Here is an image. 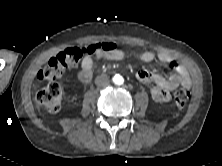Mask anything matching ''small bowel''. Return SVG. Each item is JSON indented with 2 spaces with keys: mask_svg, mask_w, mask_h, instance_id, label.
<instances>
[{
  "mask_svg": "<svg viewBox=\"0 0 222 166\" xmlns=\"http://www.w3.org/2000/svg\"><path fill=\"white\" fill-rule=\"evenodd\" d=\"M127 56V52L114 48L107 52H100L96 56H86L83 58L80 69L78 70V80L84 84L91 81L93 76L94 57L97 59L107 58L109 60H122ZM143 62H152L157 58L160 62L170 65L174 72L169 77H163L159 74L140 70L136 73V77L143 83H151V96L157 102H167L170 100V93L178 86L189 89L192 85L191 78L185 67L175 62L166 53L155 54L152 51H144L138 55Z\"/></svg>",
  "mask_w": 222,
  "mask_h": 166,
  "instance_id": "obj_1",
  "label": "small bowel"
}]
</instances>
